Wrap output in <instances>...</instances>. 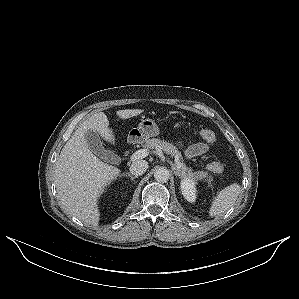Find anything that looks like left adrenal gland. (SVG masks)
I'll return each instance as SVG.
<instances>
[{
	"mask_svg": "<svg viewBox=\"0 0 299 299\" xmlns=\"http://www.w3.org/2000/svg\"><path fill=\"white\" fill-rule=\"evenodd\" d=\"M174 173H175V175L176 176H178L179 178H181V172H180V170H178V169H176V168H174Z\"/></svg>",
	"mask_w": 299,
	"mask_h": 299,
	"instance_id": "left-adrenal-gland-1",
	"label": "left adrenal gland"
}]
</instances>
